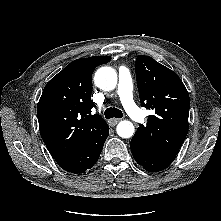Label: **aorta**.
<instances>
[{"instance_id":"obj_1","label":"aorta","mask_w":221,"mask_h":221,"mask_svg":"<svg viewBox=\"0 0 221 221\" xmlns=\"http://www.w3.org/2000/svg\"><path fill=\"white\" fill-rule=\"evenodd\" d=\"M95 84L104 91L113 90L117 85V74L111 67L99 68L94 76ZM117 134L122 138H130L134 134V126L130 121H121L117 125Z\"/></svg>"}]
</instances>
